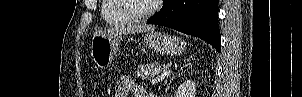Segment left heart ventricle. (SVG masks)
<instances>
[{
	"label": "left heart ventricle",
	"mask_w": 302,
	"mask_h": 97,
	"mask_svg": "<svg viewBox=\"0 0 302 97\" xmlns=\"http://www.w3.org/2000/svg\"><path fill=\"white\" fill-rule=\"evenodd\" d=\"M153 3L152 0H127L126 4L129 9L136 14L144 13Z\"/></svg>",
	"instance_id": "b2bd125f"
}]
</instances>
